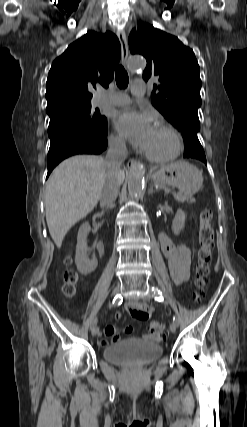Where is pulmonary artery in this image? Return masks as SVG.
Instances as JSON below:
<instances>
[{"label": "pulmonary artery", "instance_id": "e3ab8cb5", "mask_svg": "<svg viewBox=\"0 0 247 427\" xmlns=\"http://www.w3.org/2000/svg\"><path fill=\"white\" fill-rule=\"evenodd\" d=\"M145 90V83L135 82L132 87V94L141 97L144 95ZM99 103L100 105L123 106L130 103V98L125 94H112L104 96Z\"/></svg>", "mask_w": 247, "mask_h": 427}]
</instances>
